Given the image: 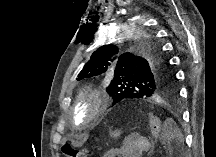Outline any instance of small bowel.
<instances>
[{
    "label": "small bowel",
    "mask_w": 216,
    "mask_h": 157,
    "mask_svg": "<svg viewBox=\"0 0 216 157\" xmlns=\"http://www.w3.org/2000/svg\"><path fill=\"white\" fill-rule=\"evenodd\" d=\"M147 148V143L141 138L133 137L126 140L122 146L108 152L109 157H139Z\"/></svg>",
    "instance_id": "small-bowel-1"
}]
</instances>
